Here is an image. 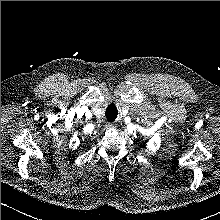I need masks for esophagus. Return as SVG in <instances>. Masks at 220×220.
<instances>
[{
  "label": "esophagus",
  "mask_w": 220,
  "mask_h": 220,
  "mask_svg": "<svg viewBox=\"0 0 220 220\" xmlns=\"http://www.w3.org/2000/svg\"><path fill=\"white\" fill-rule=\"evenodd\" d=\"M106 127L107 129H114L115 126L112 123H108Z\"/></svg>",
  "instance_id": "esophagus-1"
}]
</instances>
